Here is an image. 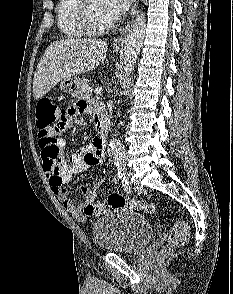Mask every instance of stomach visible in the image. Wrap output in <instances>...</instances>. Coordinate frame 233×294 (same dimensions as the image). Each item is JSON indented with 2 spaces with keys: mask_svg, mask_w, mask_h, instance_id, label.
<instances>
[{
  "mask_svg": "<svg viewBox=\"0 0 233 294\" xmlns=\"http://www.w3.org/2000/svg\"><path fill=\"white\" fill-rule=\"evenodd\" d=\"M117 51V49H115ZM81 79L78 77H70L68 79H64L60 82V90L71 96L78 97L81 89Z\"/></svg>",
  "mask_w": 233,
  "mask_h": 294,
  "instance_id": "obj_1",
  "label": "stomach"
}]
</instances>
